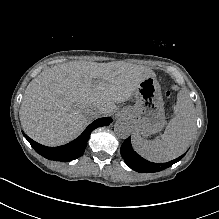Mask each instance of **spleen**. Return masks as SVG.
<instances>
[{"label": "spleen", "instance_id": "obj_1", "mask_svg": "<svg viewBox=\"0 0 219 219\" xmlns=\"http://www.w3.org/2000/svg\"><path fill=\"white\" fill-rule=\"evenodd\" d=\"M196 127V113L193 101L186 91H180L174 116L160 139L144 140L139 134H132V148L143 159L153 163H166L178 158L190 146Z\"/></svg>", "mask_w": 219, "mask_h": 219}]
</instances>
